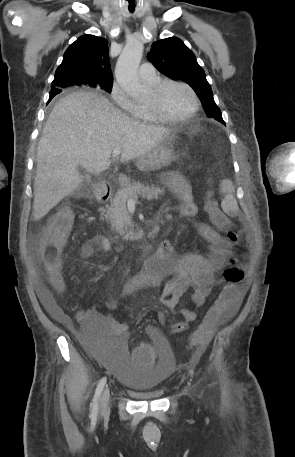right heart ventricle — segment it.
<instances>
[{
    "label": "right heart ventricle",
    "instance_id": "right-heart-ventricle-1",
    "mask_svg": "<svg viewBox=\"0 0 295 457\" xmlns=\"http://www.w3.org/2000/svg\"><path fill=\"white\" fill-rule=\"evenodd\" d=\"M159 80L153 82H147L149 85L153 86ZM134 118L142 123L153 124L157 123L158 120L152 115L150 110L147 107V104L144 103H136L135 113L133 114Z\"/></svg>",
    "mask_w": 295,
    "mask_h": 457
}]
</instances>
